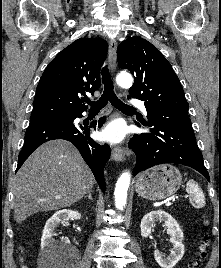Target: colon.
<instances>
[{
	"label": "colon",
	"mask_w": 221,
	"mask_h": 268,
	"mask_svg": "<svg viewBox=\"0 0 221 268\" xmlns=\"http://www.w3.org/2000/svg\"><path fill=\"white\" fill-rule=\"evenodd\" d=\"M204 223L207 224L208 220L206 217H204ZM210 246V238L208 235H205L201 244L199 245V251H198V255L197 258L194 262H192L190 264L189 268H199L201 263L203 262V260L206 258L207 254H208V249Z\"/></svg>",
	"instance_id": "colon-1"
}]
</instances>
